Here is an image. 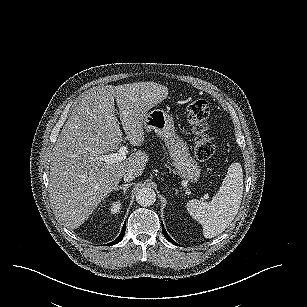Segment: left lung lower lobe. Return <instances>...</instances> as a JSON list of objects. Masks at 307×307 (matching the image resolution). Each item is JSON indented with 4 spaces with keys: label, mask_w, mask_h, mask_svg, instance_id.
Here are the masks:
<instances>
[{
    "label": "left lung lower lobe",
    "mask_w": 307,
    "mask_h": 307,
    "mask_svg": "<svg viewBox=\"0 0 307 307\" xmlns=\"http://www.w3.org/2000/svg\"><path fill=\"white\" fill-rule=\"evenodd\" d=\"M162 231H163V234L165 235V237H166L171 243H173V244H175V245L178 246V244H177L175 241H173L172 238L168 235V233L166 232V230H165L163 224H162Z\"/></svg>",
    "instance_id": "obj_1"
}]
</instances>
